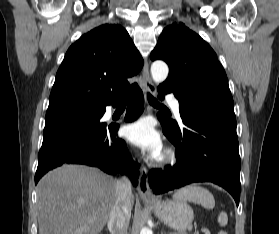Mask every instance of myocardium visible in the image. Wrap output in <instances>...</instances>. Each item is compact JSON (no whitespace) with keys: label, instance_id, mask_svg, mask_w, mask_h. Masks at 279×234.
<instances>
[{"label":"myocardium","instance_id":"1","mask_svg":"<svg viewBox=\"0 0 279 234\" xmlns=\"http://www.w3.org/2000/svg\"><path fill=\"white\" fill-rule=\"evenodd\" d=\"M177 155L173 149H167L157 159V163L161 166H167L176 162Z\"/></svg>","mask_w":279,"mask_h":234}]
</instances>
